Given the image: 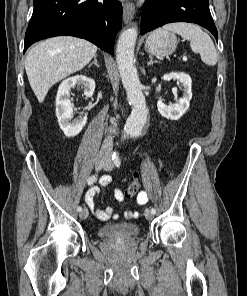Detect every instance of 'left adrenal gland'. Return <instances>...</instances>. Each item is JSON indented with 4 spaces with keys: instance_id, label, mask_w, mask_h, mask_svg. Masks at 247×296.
<instances>
[{
    "instance_id": "1",
    "label": "left adrenal gland",
    "mask_w": 247,
    "mask_h": 296,
    "mask_svg": "<svg viewBox=\"0 0 247 296\" xmlns=\"http://www.w3.org/2000/svg\"><path fill=\"white\" fill-rule=\"evenodd\" d=\"M150 58V61L147 63V65H153V63H157V61H153V57L152 56H149Z\"/></svg>"
}]
</instances>
